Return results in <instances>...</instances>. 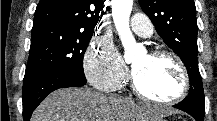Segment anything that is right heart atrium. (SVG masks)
<instances>
[{"label": "right heart atrium", "instance_id": "1", "mask_svg": "<svg viewBox=\"0 0 217 121\" xmlns=\"http://www.w3.org/2000/svg\"><path fill=\"white\" fill-rule=\"evenodd\" d=\"M83 66L88 81L103 91H116L127 79L126 67L107 37H98L89 45Z\"/></svg>", "mask_w": 217, "mask_h": 121}]
</instances>
